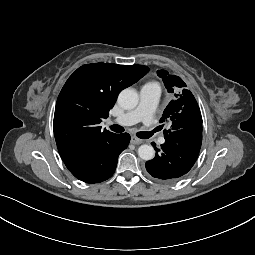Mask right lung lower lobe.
<instances>
[{"instance_id":"obj_1","label":"right lung lower lobe","mask_w":255,"mask_h":255,"mask_svg":"<svg viewBox=\"0 0 255 255\" xmlns=\"http://www.w3.org/2000/svg\"><path fill=\"white\" fill-rule=\"evenodd\" d=\"M130 142L128 133L116 134L108 141L95 143L63 160L68 170L86 183H99L115 172L119 154Z\"/></svg>"}]
</instances>
